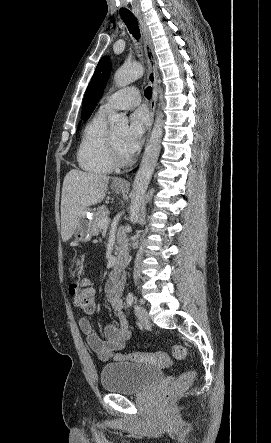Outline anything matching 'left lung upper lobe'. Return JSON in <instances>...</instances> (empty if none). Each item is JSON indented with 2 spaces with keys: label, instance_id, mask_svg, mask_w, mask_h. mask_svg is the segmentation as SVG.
I'll return each mask as SVG.
<instances>
[{
  "label": "left lung upper lobe",
  "instance_id": "left-lung-upper-lobe-1",
  "mask_svg": "<svg viewBox=\"0 0 271 443\" xmlns=\"http://www.w3.org/2000/svg\"><path fill=\"white\" fill-rule=\"evenodd\" d=\"M110 72L111 64L108 57L104 56L99 61L84 95L82 103V119L84 121L90 117L102 97Z\"/></svg>",
  "mask_w": 271,
  "mask_h": 443
}]
</instances>
